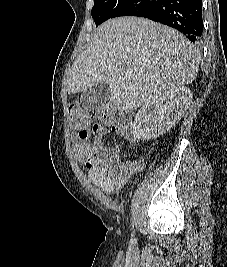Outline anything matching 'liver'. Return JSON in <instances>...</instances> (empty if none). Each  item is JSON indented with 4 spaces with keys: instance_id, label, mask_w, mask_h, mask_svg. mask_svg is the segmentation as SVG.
Listing matches in <instances>:
<instances>
[{
    "instance_id": "liver-1",
    "label": "liver",
    "mask_w": 227,
    "mask_h": 267,
    "mask_svg": "<svg viewBox=\"0 0 227 267\" xmlns=\"http://www.w3.org/2000/svg\"><path fill=\"white\" fill-rule=\"evenodd\" d=\"M198 62L197 49L177 30L144 18L112 19L93 31L86 50L76 57L67 91L75 94L105 83L110 102L129 112L165 91L190 84Z\"/></svg>"
}]
</instances>
